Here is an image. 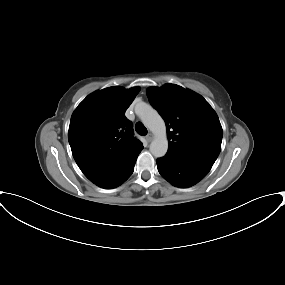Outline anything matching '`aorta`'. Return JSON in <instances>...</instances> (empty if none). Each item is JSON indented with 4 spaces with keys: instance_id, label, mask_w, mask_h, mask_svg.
Here are the masks:
<instances>
[{
    "instance_id": "762f6f07",
    "label": "aorta",
    "mask_w": 285,
    "mask_h": 285,
    "mask_svg": "<svg viewBox=\"0 0 285 285\" xmlns=\"http://www.w3.org/2000/svg\"><path fill=\"white\" fill-rule=\"evenodd\" d=\"M137 114L143 124L154 134L150 144V152L156 158L163 157L168 150L166 126L162 117L150 105L142 103L137 108Z\"/></svg>"
}]
</instances>
